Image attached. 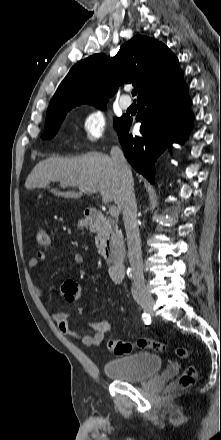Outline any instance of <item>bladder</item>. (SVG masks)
Wrapping results in <instances>:
<instances>
[{
  "instance_id": "bladder-1",
  "label": "bladder",
  "mask_w": 221,
  "mask_h": 440,
  "mask_svg": "<svg viewBox=\"0 0 221 440\" xmlns=\"http://www.w3.org/2000/svg\"><path fill=\"white\" fill-rule=\"evenodd\" d=\"M163 359L154 353H136L124 357L112 358L103 365L104 373L115 380L141 382L160 372Z\"/></svg>"
}]
</instances>
